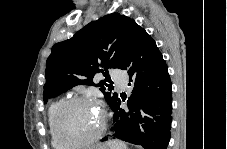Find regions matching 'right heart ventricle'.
Here are the masks:
<instances>
[{"instance_id":"obj_1","label":"right heart ventricle","mask_w":227,"mask_h":149,"mask_svg":"<svg viewBox=\"0 0 227 149\" xmlns=\"http://www.w3.org/2000/svg\"><path fill=\"white\" fill-rule=\"evenodd\" d=\"M62 100L54 101L48 109V127H49V133L51 137V144L54 149H64L63 145L57 140L55 131H54V115L58 108V106L61 104Z\"/></svg>"}]
</instances>
